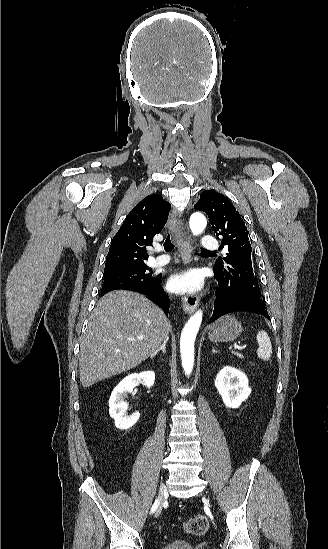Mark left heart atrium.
<instances>
[{
  "label": "left heart atrium",
  "mask_w": 328,
  "mask_h": 549,
  "mask_svg": "<svg viewBox=\"0 0 328 549\" xmlns=\"http://www.w3.org/2000/svg\"><path fill=\"white\" fill-rule=\"evenodd\" d=\"M169 285L175 292H192L201 287L202 275L199 271H188L171 278Z\"/></svg>",
  "instance_id": "left-heart-atrium-1"
}]
</instances>
